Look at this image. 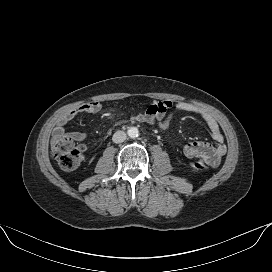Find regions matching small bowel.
<instances>
[{
    "label": "small bowel",
    "mask_w": 272,
    "mask_h": 272,
    "mask_svg": "<svg viewBox=\"0 0 272 272\" xmlns=\"http://www.w3.org/2000/svg\"><path fill=\"white\" fill-rule=\"evenodd\" d=\"M175 108L181 112H188L198 115L207 125L211 138L215 142V145L204 143V142H190L184 146L183 152L188 158H196L208 166L217 167L222 157L227 152L226 144L224 143V135L219 124L216 120L199 109L195 105L182 102V101H156L149 104L146 108L131 116L133 121L143 122L148 124H154L153 118L157 115H164L168 110ZM102 109V105L97 102L85 103L76 109L66 113L56 124L54 128V135H61L65 133V126L74 118L81 114H95ZM71 136L77 141H83L87 135L81 132H74Z\"/></svg>",
    "instance_id": "small-bowel-1"
}]
</instances>
